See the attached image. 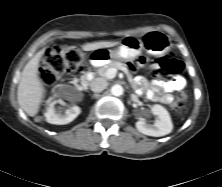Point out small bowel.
<instances>
[{"mask_svg":"<svg viewBox=\"0 0 222 187\" xmlns=\"http://www.w3.org/2000/svg\"><path fill=\"white\" fill-rule=\"evenodd\" d=\"M136 85L140 88H144L147 82L145 79L140 78L136 81ZM184 87L185 81L179 76L167 81L154 82L146 91V97L153 102L170 104L174 99L173 92L180 91Z\"/></svg>","mask_w":222,"mask_h":187,"instance_id":"c3829d8e","label":"small bowel"}]
</instances>
